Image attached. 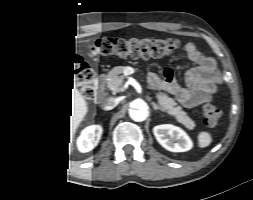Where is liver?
I'll return each instance as SVG.
<instances>
[{"label": "liver", "instance_id": "6515ba94", "mask_svg": "<svg viewBox=\"0 0 253 200\" xmlns=\"http://www.w3.org/2000/svg\"><path fill=\"white\" fill-rule=\"evenodd\" d=\"M72 114L70 116V140L69 154L72 150V140L76 129L88 112V103L85 96L74 86L71 90Z\"/></svg>", "mask_w": 253, "mask_h": 200}]
</instances>
